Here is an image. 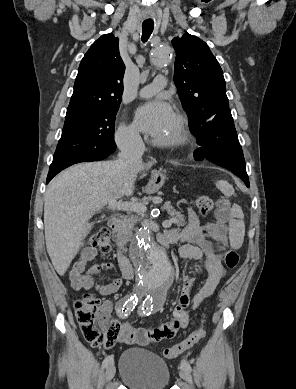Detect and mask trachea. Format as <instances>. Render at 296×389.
Listing matches in <instances>:
<instances>
[{
  "mask_svg": "<svg viewBox=\"0 0 296 389\" xmlns=\"http://www.w3.org/2000/svg\"><path fill=\"white\" fill-rule=\"evenodd\" d=\"M154 29V23L153 22H143L142 23V41L146 42L150 35L152 34Z\"/></svg>",
  "mask_w": 296,
  "mask_h": 389,
  "instance_id": "1",
  "label": "trachea"
}]
</instances>
